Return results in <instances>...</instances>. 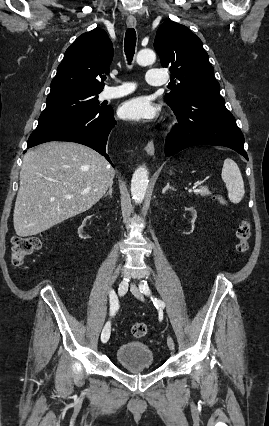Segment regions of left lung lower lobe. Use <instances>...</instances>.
Masks as SVG:
<instances>
[{
    "label": "left lung lower lobe",
    "mask_w": 269,
    "mask_h": 426,
    "mask_svg": "<svg viewBox=\"0 0 269 426\" xmlns=\"http://www.w3.org/2000/svg\"><path fill=\"white\" fill-rule=\"evenodd\" d=\"M171 108L178 124L166 139L167 156L195 145H216L229 147L248 160L244 136L219 92H198Z\"/></svg>",
    "instance_id": "left-lung-lower-lobe-1"
}]
</instances>
